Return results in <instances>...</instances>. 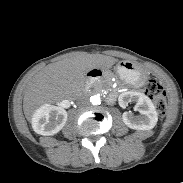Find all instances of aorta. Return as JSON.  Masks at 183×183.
Instances as JSON below:
<instances>
[{
    "instance_id": "762f6f07",
    "label": "aorta",
    "mask_w": 183,
    "mask_h": 183,
    "mask_svg": "<svg viewBox=\"0 0 183 183\" xmlns=\"http://www.w3.org/2000/svg\"><path fill=\"white\" fill-rule=\"evenodd\" d=\"M90 102L93 105H99V104H101V99H100V97L98 95H94V96L90 97Z\"/></svg>"
}]
</instances>
